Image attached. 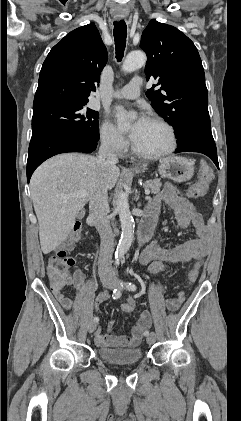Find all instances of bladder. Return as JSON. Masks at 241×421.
<instances>
[{
	"instance_id": "31cf9c89",
	"label": "bladder",
	"mask_w": 241,
	"mask_h": 421,
	"mask_svg": "<svg viewBox=\"0 0 241 421\" xmlns=\"http://www.w3.org/2000/svg\"><path fill=\"white\" fill-rule=\"evenodd\" d=\"M97 353L103 361L114 365L135 364L142 358V352L139 348H99Z\"/></svg>"
}]
</instances>
